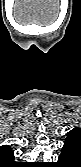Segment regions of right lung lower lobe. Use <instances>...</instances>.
Here are the masks:
<instances>
[{"label":"right lung lower lobe","mask_w":81,"mask_h":167,"mask_svg":"<svg viewBox=\"0 0 81 167\" xmlns=\"http://www.w3.org/2000/svg\"><path fill=\"white\" fill-rule=\"evenodd\" d=\"M21 166V164L20 163H13V164H11V165H9L8 167H20Z\"/></svg>","instance_id":"right-lung-lower-lobe-1"}]
</instances>
